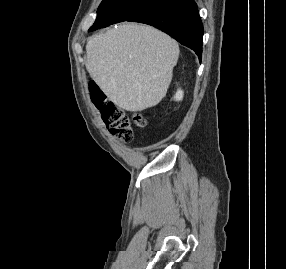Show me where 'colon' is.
Here are the masks:
<instances>
[{
  "label": "colon",
  "mask_w": 286,
  "mask_h": 269,
  "mask_svg": "<svg viewBox=\"0 0 286 269\" xmlns=\"http://www.w3.org/2000/svg\"><path fill=\"white\" fill-rule=\"evenodd\" d=\"M91 101L99 110L103 123L109 128L110 133L122 141H131L133 138L132 124L143 127L144 118L135 114L130 116L124 110L114 105L100 88L91 89Z\"/></svg>",
  "instance_id": "1"
}]
</instances>
